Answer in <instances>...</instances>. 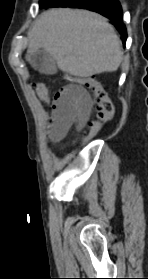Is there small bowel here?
I'll return each instance as SVG.
<instances>
[{"label":"small bowel","mask_w":148,"mask_h":279,"mask_svg":"<svg viewBox=\"0 0 148 279\" xmlns=\"http://www.w3.org/2000/svg\"><path fill=\"white\" fill-rule=\"evenodd\" d=\"M91 106L90 95L83 87L76 84L62 86L51 100L49 139L58 142L74 125L82 127L87 120Z\"/></svg>","instance_id":"small-bowel-1"}]
</instances>
